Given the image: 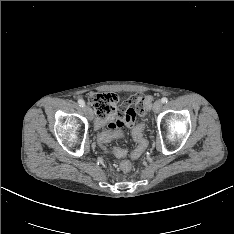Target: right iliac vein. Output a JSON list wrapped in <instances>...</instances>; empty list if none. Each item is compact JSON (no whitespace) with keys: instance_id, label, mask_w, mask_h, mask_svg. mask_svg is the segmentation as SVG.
<instances>
[{"instance_id":"1","label":"right iliac vein","mask_w":234,"mask_h":234,"mask_svg":"<svg viewBox=\"0 0 234 234\" xmlns=\"http://www.w3.org/2000/svg\"><path fill=\"white\" fill-rule=\"evenodd\" d=\"M84 112L87 115L88 119L92 120L93 113H92V110L89 106H84Z\"/></svg>"}]
</instances>
